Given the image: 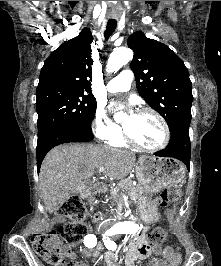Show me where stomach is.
Here are the masks:
<instances>
[{
    "mask_svg": "<svg viewBox=\"0 0 221 266\" xmlns=\"http://www.w3.org/2000/svg\"><path fill=\"white\" fill-rule=\"evenodd\" d=\"M186 168L177 160L143 155L136 164V176L140 185L148 193H157L170 185L181 183L185 177ZM139 205L148 217H152L154 207L143 196Z\"/></svg>",
    "mask_w": 221,
    "mask_h": 266,
    "instance_id": "1",
    "label": "stomach"
}]
</instances>
